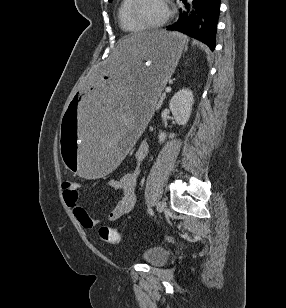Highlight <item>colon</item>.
<instances>
[{
  "mask_svg": "<svg viewBox=\"0 0 286 308\" xmlns=\"http://www.w3.org/2000/svg\"><path fill=\"white\" fill-rule=\"evenodd\" d=\"M79 183L75 180H69L64 182L63 188L68 193H77ZM101 239L110 244H118L121 240L120 234L113 228L103 226L99 230Z\"/></svg>",
  "mask_w": 286,
  "mask_h": 308,
  "instance_id": "1",
  "label": "colon"
}]
</instances>
